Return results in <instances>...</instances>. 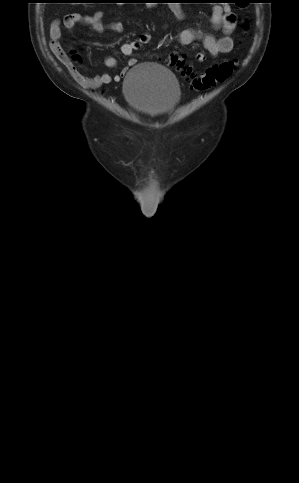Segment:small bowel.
I'll list each match as a JSON object with an SVG mask.
<instances>
[{"mask_svg":"<svg viewBox=\"0 0 299 483\" xmlns=\"http://www.w3.org/2000/svg\"><path fill=\"white\" fill-rule=\"evenodd\" d=\"M172 13L178 20L184 18L183 10L178 5H172L170 7ZM104 13L102 11H96L92 16L83 15L80 13L67 14L63 18V24L67 29H74L77 24H87L93 31L102 33L106 30H110L115 33H122L124 26L121 22H113L105 25L102 21ZM212 24L216 28H221L223 35L219 38H215L213 35L197 32L192 29H183L178 33V40L181 44L189 45L196 41L202 42L206 51L213 57L220 54H228L233 50L234 41L231 34L236 29V18L229 12L228 6L225 4H216L213 7L211 15ZM50 49L56 56V58L73 74L74 78L82 85L90 89H98L103 85L109 84L112 81L119 82L125 75L128 67H131L137 63V59L130 58L128 60V67L123 68L118 74L111 75L108 72H103L95 76H86L77 72L75 65L71 61L67 52L64 50L61 44L63 37L62 28L59 20H55L50 25ZM152 35L149 33L143 34L139 39L132 40L121 44L120 51L125 56H131L135 51L141 49L144 45L151 42ZM197 61H204L205 54L202 52L195 53ZM104 64L107 67H115L118 61L115 57L109 56L104 60Z\"/></svg>","mask_w":299,"mask_h":483,"instance_id":"small-bowel-1","label":"small bowel"}]
</instances>
